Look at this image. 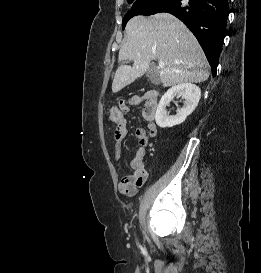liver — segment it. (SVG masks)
<instances>
[{"label":"liver","instance_id":"6515ba94","mask_svg":"<svg viewBox=\"0 0 261 273\" xmlns=\"http://www.w3.org/2000/svg\"><path fill=\"white\" fill-rule=\"evenodd\" d=\"M127 40L119 51L120 65L115 73L112 92L117 93L146 73L152 60L164 62L158 68L164 87L182 83H201L208 79V61L197 39L176 17L157 13L135 16L126 25Z\"/></svg>","mask_w":261,"mask_h":273}]
</instances>
